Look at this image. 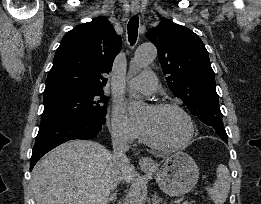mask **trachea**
I'll return each instance as SVG.
<instances>
[{
	"mask_svg": "<svg viewBox=\"0 0 261 204\" xmlns=\"http://www.w3.org/2000/svg\"><path fill=\"white\" fill-rule=\"evenodd\" d=\"M139 18L137 15L133 16L127 26L128 39L131 45L135 44L138 36Z\"/></svg>",
	"mask_w": 261,
	"mask_h": 204,
	"instance_id": "trachea-1",
	"label": "trachea"
}]
</instances>
